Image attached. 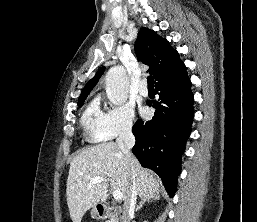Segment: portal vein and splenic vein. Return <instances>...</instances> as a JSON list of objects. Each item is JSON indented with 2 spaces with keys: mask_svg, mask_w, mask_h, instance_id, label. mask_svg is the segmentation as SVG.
I'll return each instance as SVG.
<instances>
[{
  "mask_svg": "<svg viewBox=\"0 0 257 222\" xmlns=\"http://www.w3.org/2000/svg\"><path fill=\"white\" fill-rule=\"evenodd\" d=\"M108 181H109V180L104 179V178L98 176V177L92 178V179L90 180V184L93 185V184H98V183H101V182H108ZM122 197H123V194H122L121 191L116 190V191L113 192V198H114L115 200H121Z\"/></svg>",
  "mask_w": 257,
  "mask_h": 222,
  "instance_id": "1",
  "label": "portal vein and splenic vein"
}]
</instances>
